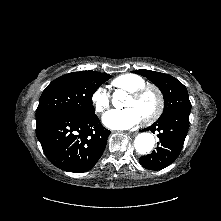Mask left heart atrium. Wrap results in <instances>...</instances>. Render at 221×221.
I'll return each instance as SVG.
<instances>
[{
	"mask_svg": "<svg viewBox=\"0 0 221 221\" xmlns=\"http://www.w3.org/2000/svg\"><path fill=\"white\" fill-rule=\"evenodd\" d=\"M140 114L134 108L111 110L104 114L102 120L105 126L111 129H129L141 121Z\"/></svg>",
	"mask_w": 221,
	"mask_h": 221,
	"instance_id": "39dd6f15",
	"label": "left heart atrium"
}]
</instances>
